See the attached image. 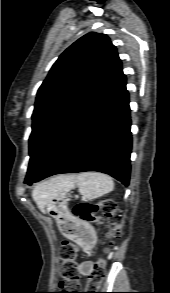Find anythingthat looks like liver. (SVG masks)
Here are the masks:
<instances>
[{"mask_svg": "<svg viewBox=\"0 0 170 293\" xmlns=\"http://www.w3.org/2000/svg\"><path fill=\"white\" fill-rule=\"evenodd\" d=\"M75 178V176H60L37 186L32 192V197L41 212H44L47 200L71 188L74 185Z\"/></svg>", "mask_w": 170, "mask_h": 293, "instance_id": "obj_1", "label": "liver"}]
</instances>
